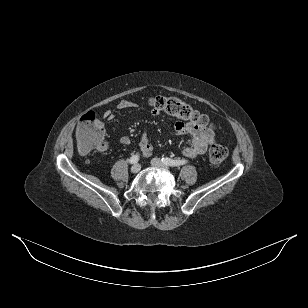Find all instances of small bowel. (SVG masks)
I'll return each instance as SVG.
<instances>
[{
	"label": "small bowel",
	"instance_id": "small-bowel-1",
	"mask_svg": "<svg viewBox=\"0 0 308 308\" xmlns=\"http://www.w3.org/2000/svg\"><path fill=\"white\" fill-rule=\"evenodd\" d=\"M137 104L130 100H122L117 104V108L119 110H125V109H131L136 108ZM156 114V112H153ZM103 118L111 121L115 118L114 113L111 110H107L103 114ZM103 128V122L100 120ZM174 132L177 135H185L188 134L191 136V145L189 147H186L183 150V156L188 159L196 158L200 155H203L208 147L210 145H213L216 142V137L210 128L201 127L196 124L192 123H184V122H176L174 125ZM105 135V131H104ZM131 139L129 136L125 135L120 139V143L122 145H128L130 144ZM109 147L108 141L103 139V142L101 146L98 148L99 151H106ZM139 148L141 150V153L145 157H149L153 151V147L151 143L149 142V139L147 137V134L143 132L141 134L140 140H139Z\"/></svg>",
	"mask_w": 308,
	"mask_h": 308
}]
</instances>
